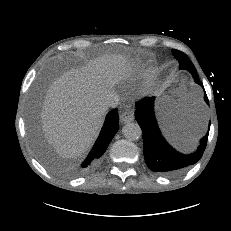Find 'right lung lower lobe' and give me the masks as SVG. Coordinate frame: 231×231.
I'll return each instance as SVG.
<instances>
[{"label":"right lung lower lobe","instance_id":"obj_1","mask_svg":"<svg viewBox=\"0 0 231 231\" xmlns=\"http://www.w3.org/2000/svg\"><path fill=\"white\" fill-rule=\"evenodd\" d=\"M118 128V110L114 109L108 113L101 133L88 157L81 163V165L71 169V173L81 174L93 169L99 163L100 157L106 151L109 143L118 131Z\"/></svg>","mask_w":231,"mask_h":231}]
</instances>
